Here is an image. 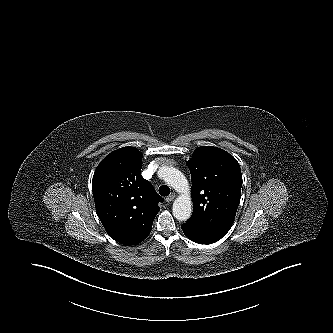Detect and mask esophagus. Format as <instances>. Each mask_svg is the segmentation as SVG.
I'll return each mask as SVG.
<instances>
[{"instance_id": "1", "label": "esophagus", "mask_w": 333, "mask_h": 333, "mask_svg": "<svg viewBox=\"0 0 333 333\" xmlns=\"http://www.w3.org/2000/svg\"><path fill=\"white\" fill-rule=\"evenodd\" d=\"M176 197V195L174 193H172L171 195H169L168 197H166L165 201L167 203H170L174 200V198Z\"/></svg>"}]
</instances>
